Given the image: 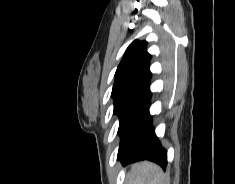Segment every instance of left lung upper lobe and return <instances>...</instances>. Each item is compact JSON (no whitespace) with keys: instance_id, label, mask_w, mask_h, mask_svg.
I'll use <instances>...</instances> for the list:
<instances>
[{"instance_id":"5c2ea615","label":"left lung upper lobe","mask_w":235,"mask_h":184,"mask_svg":"<svg viewBox=\"0 0 235 184\" xmlns=\"http://www.w3.org/2000/svg\"><path fill=\"white\" fill-rule=\"evenodd\" d=\"M146 46V41H133L115 73L111 96L114 99V114L120 120L118 134L121 141L118 153L128 142L137 120L151 99V55L146 51Z\"/></svg>"}]
</instances>
